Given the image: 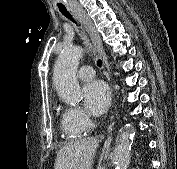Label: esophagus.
Wrapping results in <instances>:
<instances>
[{
	"label": "esophagus",
	"instance_id": "obj_1",
	"mask_svg": "<svg viewBox=\"0 0 177 169\" xmlns=\"http://www.w3.org/2000/svg\"><path fill=\"white\" fill-rule=\"evenodd\" d=\"M68 9L73 14V16H75L83 24L85 30L88 32L93 42V45L98 53V56L102 61V66H103V69L105 70V74L106 76H108L109 64H108L107 56L104 52L101 38L93 22L88 17V15L85 13V11L82 9V7H80L79 5H71L69 6Z\"/></svg>",
	"mask_w": 177,
	"mask_h": 169
}]
</instances>
